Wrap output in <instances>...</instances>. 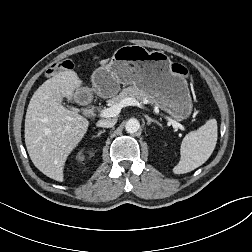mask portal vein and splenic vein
Returning <instances> with one entry per match:
<instances>
[{
  "label": "portal vein and splenic vein",
  "instance_id": "obj_1",
  "mask_svg": "<svg viewBox=\"0 0 252 252\" xmlns=\"http://www.w3.org/2000/svg\"><path fill=\"white\" fill-rule=\"evenodd\" d=\"M126 106H140V103L136 99L125 98L119 104L112 105L111 107L105 108L102 111H100L98 116L104 118L116 117L120 113L121 108ZM171 122L175 127L179 128L182 131H186V128L180 123L174 120H171Z\"/></svg>",
  "mask_w": 252,
  "mask_h": 252
}]
</instances>
